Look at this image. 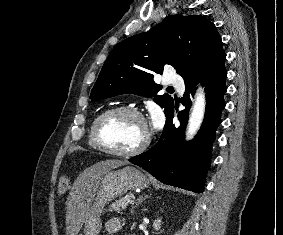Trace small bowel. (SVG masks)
I'll return each mask as SVG.
<instances>
[{
  "label": "small bowel",
  "mask_w": 283,
  "mask_h": 235,
  "mask_svg": "<svg viewBox=\"0 0 283 235\" xmlns=\"http://www.w3.org/2000/svg\"><path fill=\"white\" fill-rule=\"evenodd\" d=\"M121 227H122V221L119 218L110 219L106 225L108 232L111 234H115L119 232Z\"/></svg>",
  "instance_id": "small-bowel-1"
}]
</instances>
